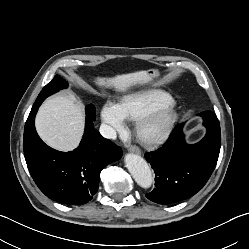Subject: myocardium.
Masks as SVG:
<instances>
[{
    "label": "myocardium",
    "mask_w": 249,
    "mask_h": 249,
    "mask_svg": "<svg viewBox=\"0 0 249 249\" xmlns=\"http://www.w3.org/2000/svg\"><path fill=\"white\" fill-rule=\"evenodd\" d=\"M176 119V104L173 101L161 104L137 119L136 135L146 144L158 143L168 135Z\"/></svg>",
    "instance_id": "obj_1"
}]
</instances>
